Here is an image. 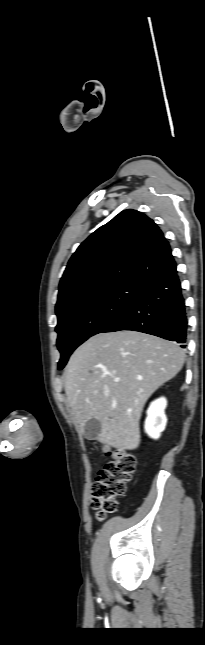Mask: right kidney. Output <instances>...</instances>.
Listing matches in <instances>:
<instances>
[{"mask_svg":"<svg viewBox=\"0 0 205 645\" xmlns=\"http://www.w3.org/2000/svg\"><path fill=\"white\" fill-rule=\"evenodd\" d=\"M166 406L167 400L161 397L153 401L147 410L144 428L145 432L153 439H158L165 429L167 423Z\"/></svg>","mask_w":205,"mask_h":645,"instance_id":"right-kidney-1","label":"right kidney"}]
</instances>
